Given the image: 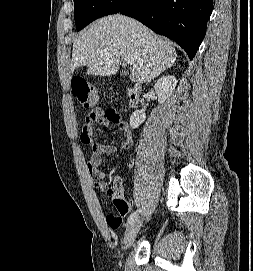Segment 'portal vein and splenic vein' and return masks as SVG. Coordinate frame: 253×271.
I'll return each mask as SVG.
<instances>
[{"instance_id": "portal-vein-and-splenic-vein-1", "label": "portal vein and splenic vein", "mask_w": 253, "mask_h": 271, "mask_svg": "<svg viewBox=\"0 0 253 271\" xmlns=\"http://www.w3.org/2000/svg\"><path fill=\"white\" fill-rule=\"evenodd\" d=\"M124 62L126 63V64H132V61L130 60V59H128V58H124Z\"/></svg>"}]
</instances>
